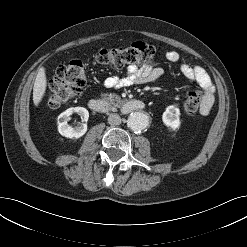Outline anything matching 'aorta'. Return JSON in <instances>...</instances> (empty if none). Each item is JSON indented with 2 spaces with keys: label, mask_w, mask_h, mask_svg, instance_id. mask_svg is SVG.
<instances>
[{
  "label": "aorta",
  "mask_w": 247,
  "mask_h": 247,
  "mask_svg": "<svg viewBox=\"0 0 247 247\" xmlns=\"http://www.w3.org/2000/svg\"><path fill=\"white\" fill-rule=\"evenodd\" d=\"M148 124L149 118L142 112H133L127 119L128 127L135 132L144 130L148 126Z\"/></svg>",
  "instance_id": "aorta-1"
}]
</instances>
